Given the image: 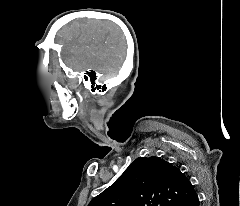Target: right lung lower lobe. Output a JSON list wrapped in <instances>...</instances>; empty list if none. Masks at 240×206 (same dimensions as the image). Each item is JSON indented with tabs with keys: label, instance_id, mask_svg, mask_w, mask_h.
Instances as JSON below:
<instances>
[{
	"label": "right lung lower lobe",
	"instance_id": "1",
	"mask_svg": "<svg viewBox=\"0 0 240 206\" xmlns=\"http://www.w3.org/2000/svg\"><path fill=\"white\" fill-rule=\"evenodd\" d=\"M177 206H199V199L197 194H195L193 197L177 204Z\"/></svg>",
	"mask_w": 240,
	"mask_h": 206
}]
</instances>
